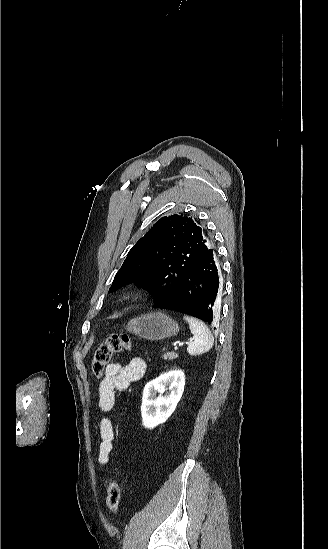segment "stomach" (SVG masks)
<instances>
[{
	"label": "stomach",
	"mask_w": 328,
	"mask_h": 549,
	"mask_svg": "<svg viewBox=\"0 0 328 549\" xmlns=\"http://www.w3.org/2000/svg\"><path fill=\"white\" fill-rule=\"evenodd\" d=\"M125 329L128 333L137 335L141 339H147V341H162L167 337L178 335L180 331L178 323L161 311L139 315L136 319L128 321Z\"/></svg>",
	"instance_id": "obj_1"
}]
</instances>
